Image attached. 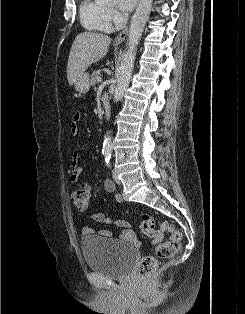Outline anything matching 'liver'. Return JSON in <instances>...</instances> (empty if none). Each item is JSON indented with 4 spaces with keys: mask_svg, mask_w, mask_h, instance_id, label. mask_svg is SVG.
Wrapping results in <instances>:
<instances>
[{
    "mask_svg": "<svg viewBox=\"0 0 245 314\" xmlns=\"http://www.w3.org/2000/svg\"><path fill=\"white\" fill-rule=\"evenodd\" d=\"M111 38L105 34L83 32L76 36L68 58L67 79L75 84L86 69L107 54Z\"/></svg>",
    "mask_w": 245,
    "mask_h": 314,
    "instance_id": "liver-1",
    "label": "liver"
}]
</instances>
